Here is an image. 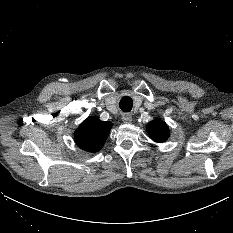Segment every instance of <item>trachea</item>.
<instances>
[{
    "label": "trachea",
    "instance_id": "1",
    "mask_svg": "<svg viewBox=\"0 0 233 233\" xmlns=\"http://www.w3.org/2000/svg\"><path fill=\"white\" fill-rule=\"evenodd\" d=\"M132 105V99L127 96L123 97L119 102L120 109L124 112H130L132 109Z\"/></svg>",
    "mask_w": 233,
    "mask_h": 233
}]
</instances>
